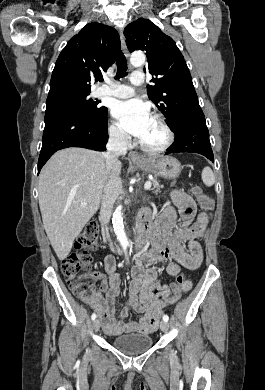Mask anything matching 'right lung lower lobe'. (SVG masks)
Instances as JSON below:
<instances>
[{
	"mask_svg": "<svg viewBox=\"0 0 265 390\" xmlns=\"http://www.w3.org/2000/svg\"><path fill=\"white\" fill-rule=\"evenodd\" d=\"M45 128L38 161V173L56 151L67 147L106 150L107 116L92 120L74 112L45 113Z\"/></svg>",
	"mask_w": 265,
	"mask_h": 390,
	"instance_id": "98d812e1",
	"label": "right lung lower lobe"
}]
</instances>
